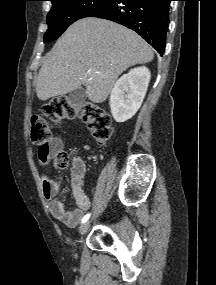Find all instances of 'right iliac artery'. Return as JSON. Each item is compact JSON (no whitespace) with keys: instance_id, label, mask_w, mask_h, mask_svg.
<instances>
[{"instance_id":"82829eb1","label":"right iliac artery","mask_w":216,"mask_h":285,"mask_svg":"<svg viewBox=\"0 0 216 285\" xmlns=\"http://www.w3.org/2000/svg\"><path fill=\"white\" fill-rule=\"evenodd\" d=\"M90 217V213L86 214L83 218H82V223H85Z\"/></svg>"}]
</instances>
